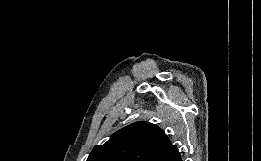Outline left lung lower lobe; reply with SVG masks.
Masks as SVG:
<instances>
[{"mask_svg": "<svg viewBox=\"0 0 261 161\" xmlns=\"http://www.w3.org/2000/svg\"><path fill=\"white\" fill-rule=\"evenodd\" d=\"M152 161H182L176 145H169L159 152Z\"/></svg>", "mask_w": 261, "mask_h": 161, "instance_id": "obj_1", "label": "left lung lower lobe"}]
</instances>
